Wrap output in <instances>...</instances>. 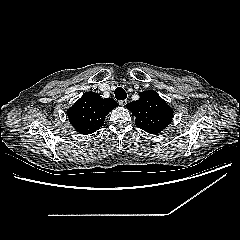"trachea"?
<instances>
[{"label": "trachea", "mask_w": 240, "mask_h": 240, "mask_svg": "<svg viewBox=\"0 0 240 240\" xmlns=\"http://www.w3.org/2000/svg\"><path fill=\"white\" fill-rule=\"evenodd\" d=\"M114 94H115V98L118 100H124L127 98V94L125 90L121 87H117L114 91Z\"/></svg>", "instance_id": "trachea-1"}]
</instances>
